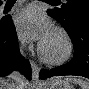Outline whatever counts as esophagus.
<instances>
[{"label":"esophagus","instance_id":"esophagus-1","mask_svg":"<svg viewBox=\"0 0 89 89\" xmlns=\"http://www.w3.org/2000/svg\"><path fill=\"white\" fill-rule=\"evenodd\" d=\"M31 67H32V77L34 80H37L39 76V69L37 65H35L33 62H31Z\"/></svg>","mask_w":89,"mask_h":89}]
</instances>
